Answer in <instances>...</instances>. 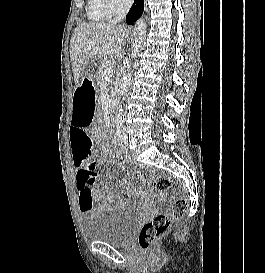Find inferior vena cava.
<instances>
[{
  "mask_svg": "<svg viewBox=\"0 0 265 273\" xmlns=\"http://www.w3.org/2000/svg\"><path fill=\"white\" fill-rule=\"evenodd\" d=\"M132 3H133V0H123L119 8L118 15L113 20H111L110 23L115 24L121 21L122 19H124Z\"/></svg>",
  "mask_w": 265,
  "mask_h": 273,
  "instance_id": "1",
  "label": "inferior vena cava"
}]
</instances>
